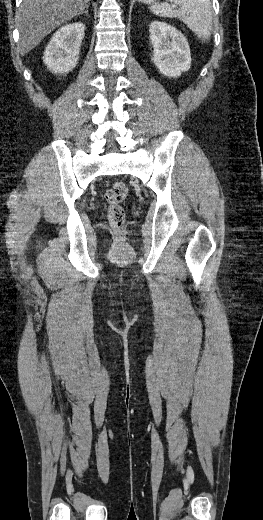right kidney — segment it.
Segmentation results:
<instances>
[{"mask_svg":"<svg viewBox=\"0 0 263 520\" xmlns=\"http://www.w3.org/2000/svg\"><path fill=\"white\" fill-rule=\"evenodd\" d=\"M84 31L82 22H74L53 34L43 56V62L52 73L66 74L76 67Z\"/></svg>","mask_w":263,"mask_h":520,"instance_id":"obj_1","label":"right kidney"}]
</instances>
